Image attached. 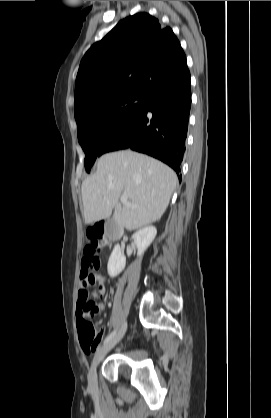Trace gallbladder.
I'll use <instances>...</instances> for the list:
<instances>
[{
	"label": "gallbladder",
	"instance_id": "1",
	"mask_svg": "<svg viewBox=\"0 0 271 418\" xmlns=\"http://www.w3.org/2000/svg\"><path fill=\"white\" fill-rule=\"evenodd\" d=\"M121 228L117 225L113 217H109L106 222V232L108 235H119Z\"/></svg>",
	"mask_w": 271,
	"mask_h": 418
}]
</instances>
